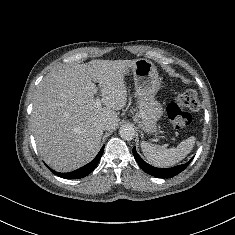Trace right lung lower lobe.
I'll list each match as a JSON object with an SVG mask.
<instances>
[{"label":"right lung lower lobe","instance_id":"right-lung-lower-lobe-1","mask_svg":"<svg viewBox=\"0 0 235 235\" xmlns=\"http://www.w3.org/2000/svg\"><path fill=\"white\" fill-rule=\"evenodd\" d=\"M103 150H104V146L101 148V150L99 151L97 156L90 163H88L87 165H85L75 171H72L69 173H60V172H56L52 169H50V170L55 175L62 177V178H65V179L83 178V177L87 176L88 174H90L95 169V167L97 166V164L102 156Z\"/></svg>","mask_w":235,"mask_h":235}]
</instances>
